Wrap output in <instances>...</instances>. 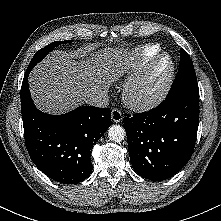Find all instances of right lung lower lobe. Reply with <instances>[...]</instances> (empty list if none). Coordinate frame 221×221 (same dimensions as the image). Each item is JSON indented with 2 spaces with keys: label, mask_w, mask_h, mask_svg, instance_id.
I'll return each mask as SVG.
<instances>
[{
  "label": "right lung lower lobe",
  "mask_w": 221,
  "mask_h": 221,
  "mask_svg": "<svg viewBox=\"0 0 221 221\" xmlns=\"http://www.w3.org/2000/svg\"><path fill=\"white\" fill-rule=\"evenodd\" d=\"M27 68L21 87L25 144L34 164L48 177L65 184L92 173L91 148L111 123L108 108L82 106L63 115H49L33 104Z\"/></svg>",
  "instance_id": "obj_1"
}]
</instances>
